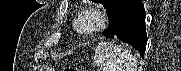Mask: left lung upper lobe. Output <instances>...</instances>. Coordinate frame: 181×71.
<instances>
[{
	"mask_svg": "<svg viewBox=\"0 0 181 71\" xmlns=\"http://www.w3.org/2000/svg\"><path fill=\"white\" fill-rule=\"evenodd\" d=\"M96 3H101L107 9L106 12L110 9V7L116 2V0H92Z\"/></svg>",
	"mask_w": 181,
	"mask_h": 71,
	"instance_id": "obj_1",
	"label": "left lung upper lobe"
}]
</instances>
